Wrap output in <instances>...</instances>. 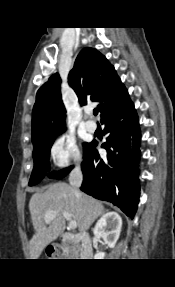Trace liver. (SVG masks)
Segmentation results:
<instances>
[{
  "label": "liver",
  "instance_id": "obj_1",
  "mask_svg": "<svg viewBox=\"0 0 175 287\" xmlns=\"http://www.w3.org/2000/svg\"><path fill=\"white\" fill-rule=\"evenodd\" d=\"M29 210L35 230L30 241V257L38 259L45 246L65 230L63 212L70 214L71 219L77 222L79 232L83 233L104 213V206L71 185L59 182L50 185L45 192L33 194ZM51 212L58 215L46 223L45 216Z\"/></svg>",
  "mask_w": 175,
  "mask_h": 287
}]
</instances>
